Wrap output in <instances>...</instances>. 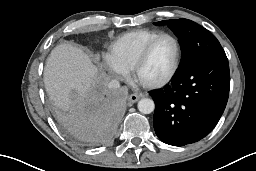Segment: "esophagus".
<instances>
[{
  "label": "esophagus",
  "mask_w": 256,
  "mask_h": 171,
  "mask_svg": "<svg viewBox=\"0 0 256 171\" xmlns=\"http://www.w3.org/2000/svg\"><path fill=\"white\" fill-rule=\"evenodd\" d=\"M139 99H140V95L137 93L130 94L128 97V101L132 104L136 103Z\"/></svg>",
  "instance_id": "esophagus-1"
}]
</instances>
